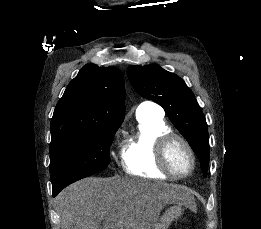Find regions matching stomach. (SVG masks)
<instances>
[{
    "mask_svg": "<svg viewBox=\"0 0 261 229\" xmlns=\"http://www.w3.org/2000/svg\"><path fill=\"white\" fill-rule=\"evenodd\" d=\"M181 215H183L182 205H175V207H170V209H167L164 215H162L160 223L155 225V229H168L172 221H176V219H179Z\"/></svg>",
    "mask_w": 261,
    "mask_h": 229,
    "instance_id": "obj_1",
    "label": "stomach"
}]
</instances>
